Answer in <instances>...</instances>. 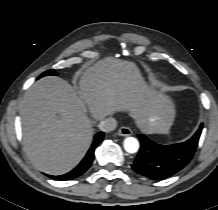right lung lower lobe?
<instances>
[{
	"instance_id": "1",
	"label": "right lung lower lobe",
	"mask_w": 218,
	"mask_h": 210,
	"mask_svg": "<svg viewBox=\"0 0 218 210\" xmlns=\"http://www.w3.org/2000/svg\"><path fill=\"white\" fill-rule=\"evenodd\" d=\"M103 137H104L103 132H99L94 136L93 144H92L91 148L89 149V151L87 152L86 156L80 162V164L76 168H74L72 171H70L69 173L64 174V175L49 176V177H51L53 179H58V180H69V179H73V178H76V177L84 174L92 165V162L94 159L95 148L103 140Z\"/></svg>"
}]
</instances>
